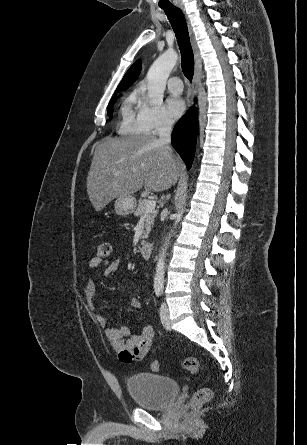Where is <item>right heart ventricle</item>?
<instances>
[{
    "label": "right heart ventricle",
    "mask_w": 307,
    "mask_h": 445,
    "mask_svg": "<svg viewBox=\"0 0 307 445\" xmlns=\"http://www.w3.org/2000/svg\"><path fill=\"white\" fill-rule=\"evenodd\" d=\"M122 121L119 125L120 134H131L142 132L143 129L139 122V113L143 107L138 91L128 92L122 100Z\"/></svg>",
    "instance_id": "e07e8e85"
}]
</instances>
